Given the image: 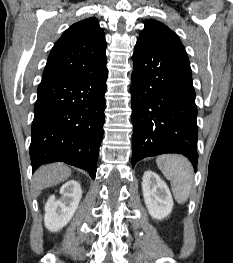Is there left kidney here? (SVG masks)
<instances>
[{
  "label": "left kidney",
  "mask_w": 233,
  "mask_h": 263,
  "mask_svg": "<svg viewBox=\"0 0 233 263\" xmlns=\"http://www.w3.org/2000/svg\"><path fill=\"white\" fill-rule=\"evenodd\" d=\"M145 205L152 218L161 220L173 208V199L166 183L154 172L146 171L142 178Z\"/></svg>",
  "instance_id": "left-kidney-1"
}]
</instances>
